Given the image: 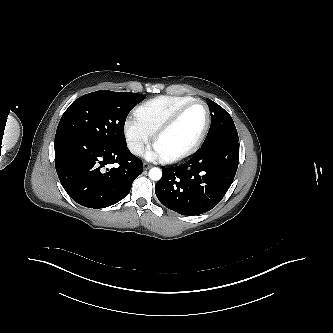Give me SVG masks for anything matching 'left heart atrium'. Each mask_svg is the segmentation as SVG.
Instances as JSON below:
<instances>
[{"instance_id":"1","label":"left heart atrium","mask_w":333,"mask_h":333,"mask_svg":"<svg viewBox=\"0 0 333 333\" xmlns=\"http://www.w3.org/2000/svg\"><path fill=\"white\" fill-rule=\"evenodd\" d=\"M146 157L148 159L165 158L164 155L155 147L154 150L147 152Z\"/></svg>"}]
</instances>
